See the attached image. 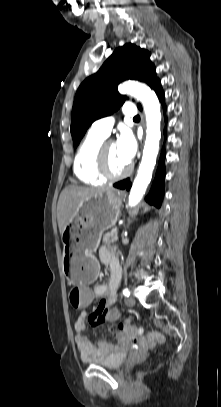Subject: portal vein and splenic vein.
<instances>
[{"label": "portal vein and splenic vein", "instance_id": "1", "mask_svg": "<svg viewBox=\"0 0 221 407\" xmlns=\"http://www.w3.org/2000/svg\"><path fill=\"white\" fill-rule=\"evenodd\" d=\"M114 231H118V229H117V228H115V229H114Z\"/></svg>", "mask_w": 221, "mask_h": 407}]
</instances>
